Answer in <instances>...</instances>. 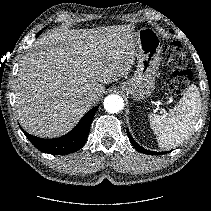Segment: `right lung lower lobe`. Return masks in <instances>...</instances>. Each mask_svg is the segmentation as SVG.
<instances>
[{
	"mask_svg": "<svg viewBox=\"0 0 211 211\" xmlns=\"http://www.w3.org/2000/svg\"><path fill=\"white\" fill-rule=\"evenodd\" d=\"M97 107L87 112L68 134L54 139H42L24 132L29 141L41 152L49 154H69L79 150L86 142L90 125Z\"/></svg>",
	"mask_w": 211,
	"mask_h": 211,
	"instance_id": "98d812e1",
	"label": "right lung lower lobe"
}]
</instances>
